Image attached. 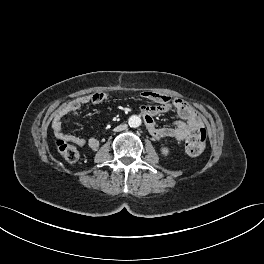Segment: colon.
I'll list each match as a JSON object with an SVG mask.
<instances>
[{"instance_id":"colon-1","label":"colon","mask_w":264,"mask_h":264,"mask_svg":"<svg viewBox=\"0 0 264 264\" xmlns=\"http://www.w3.org/2000/svg\"><path fill=\"white\" fill-rule=\"evenodd\" d=\"M206 132L203 128L196 130L185 142V150L191 156L200 155L205 148ZM60 155L69 163H75L80 158L79 149L64 139L57 140Z\"/></svg>"}]
</instances>
